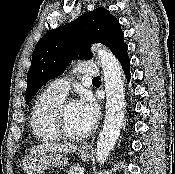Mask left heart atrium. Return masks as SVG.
Wrapping results in <instances>:
<instances>
[{
  "label": "left heart atrium",
  "mask_w": 175,
  "mask_h": 174,
  "mask_svg": "<svg viewBox=\"0 0 175 174\" xmlns=\"http://www.w3.org/2000/svg\"><path fill=\"white\" fill-rule=\"evenodd\" d=\"M81 113L89 126H93L99 115V108L96 101L90 95H84L78 102Z\"/></svg>",
  "instance_id": "1"
}]
</instances>
